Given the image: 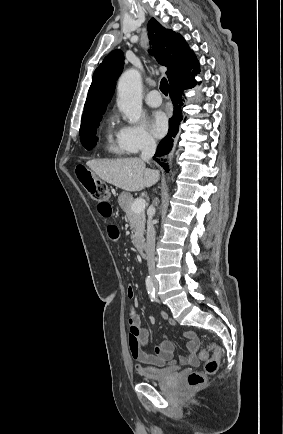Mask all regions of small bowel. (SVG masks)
<instances>
[{
    "mask_svg": "<svg viewBox=\"0 0 283 434\" xmlns=\"http://www.w3.org/2000/svg\"><path fill=\"white\" fill-rule=\"evenodd\" d=\"M98 213L103 218H111L114 214L113 208L108 201L99 202L97 206ZM107 237L110 241L116 242L119 239V230L115 225H109L106 229ZM128 297L132 300L134 297V291L132 287L127 290ZM164 318L166 316L162 314ZM169 324L175 326L174 320L169 319ZM128 325H129V337L128 344L132 357L139 362L137 370H141L144 365L148 366H164L169 363H175L172 361L174 345L171 341H164L155 347V354H148L144 348L149 342V333L142 326L140 318L137 314L135 305L133 302L129 305L128 310ZM183 336L188 340L187 349L188 356H181L177 360L180 365H192L197 366L199 359L197 357V350L199 347V341L194 331L188 330L183 333Z\"/></svg>",
    "mask_w": 283,
    "mask_h": 434,
    "instance_id": "1",
    "label": "small bowel"
}]
</instances>
